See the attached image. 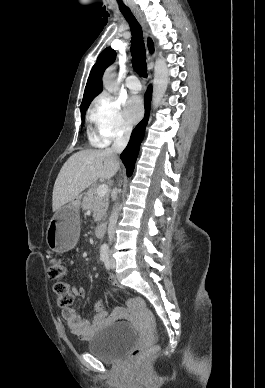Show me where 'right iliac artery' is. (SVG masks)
Returning <instances> with one entry per match:
<instances>
[{
    "instance_id": "right-iliac-artery-1",
    "label": "right iliac artery",
    "mask_w": 265,
    "mask_h": 388,
    "mask_svg": "<svg viewBox=\"0 0 265 388\" xmlns=\"http://www.w3.org/2000/svg\"><path fill=\"white\" fill-rule=\"evenodd\" d=\"M100 260L104 262L106 265L109 262V250L107 245H102L100 250Z\"/></svg>"
}]
</instances>
